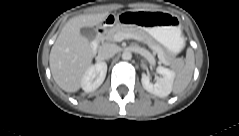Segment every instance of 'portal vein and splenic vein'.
I'll return each instance as SVG.
<instances>
[{
  "label": "portal vein and splenic vein",
  "mask_w": 239,
  "mask_h": 136,
  "mask_svg": "<svg viewBox=\"0 0 239 136\" xmlns=\"http://www.w3.org/2000/svg\"><path fill=\"white\" fill-rule=\"evenodd\" d=\"M137 38H138L137 36H134L132 34H127V33H117L114 36V39L117 42H121L124 39H137Z\"/></svg>",
  "instance_id": "18ae733b"
}]
</instances>
